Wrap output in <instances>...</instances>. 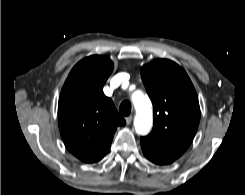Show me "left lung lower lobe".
<instances>
[{"mask_svg":"<svg viewBox=\"0 0 245 195\" xmlns=\"http://www.w3.org/2000/svg\"><path fill=\"white\" fill-rule=\"evenodd\" d=\"M140 142L146 158L159 165L170 164L185 152L179 148L161 145L148 137H141Z\"/></svg>","mask_w":245,"mask_h":195,"instance_id":"1","label":"left lung lower lobe"}]
</instances>
